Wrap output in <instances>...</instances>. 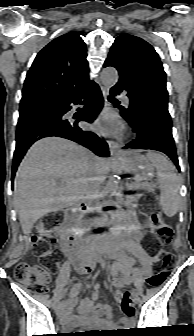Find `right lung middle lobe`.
<instances>
[{
    "label": "right lung middle lobe",
    "instance_id": "1",
    "mask_svg": "<svg viewBox=\"0 0 194 336\" xmlns=\"http://www.w3.org/2000/svg\"><path fill=\"white\" fill-rule=\"evenodd\" d=\"M33 111H35V110L27 109V108H25V109H20V114L30 113V112H33Z\"/></svg>",
    "mask_w": 194,
    "mask_h": 336
}]
</instances>
